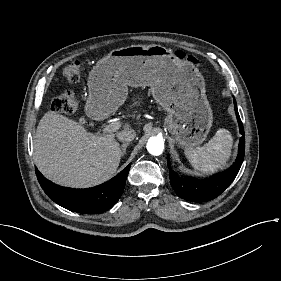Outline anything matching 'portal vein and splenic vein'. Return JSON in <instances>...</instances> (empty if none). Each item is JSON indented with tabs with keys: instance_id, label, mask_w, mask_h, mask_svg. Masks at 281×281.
Masks as SVG:
<instances>
[{
	"instance_id": "portal-vein-and-splenic-vein-1",
	"label": "portal vein and splenic vein",
	"mask_w": 281,
	"mask_h": 281,
	"mask_svg": "<svg viewBox=\"0 0 281 281\" xmlns=\"http://www.w3.org/2000/svg\"><path fill=\"white\" fill-rule=\"evenodd\" d=\"M126 122L122 121H114L111 124H107L104 128L99 129L100 135H112L114 132H119L122 129V126H125Z\"/></svg>"
}]
</instances>
